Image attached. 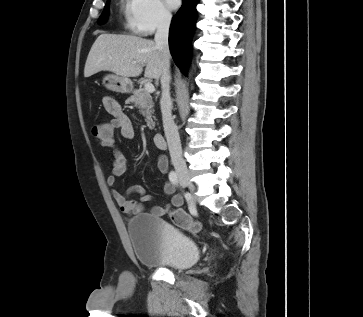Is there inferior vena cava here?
Returning <instances> with one entry per match:
<instances>
[{
	"mask_svg": "<svg viewBox=\"0 0 363 317\" xmlns=\"http://www.w3.org/2000/svg\"><path fill=\"white\" fill-rule=\"evenodd\" d=\"M171 15L163 14L158 22L155 44L162 53L163 69L161 75L162 95L160 99L162 120L172 164L177 172H187L186 162L182 156V147L177 126L172 117V101L170 97V50L168 45Z\"/></svg>",
	"mask_w": 363,
	"mask_h": 317,
	"instance_id": "602c4592",
	"label": "inferior vena cava"
}]
</instances>
